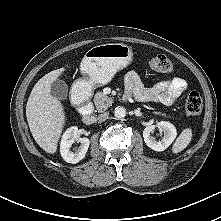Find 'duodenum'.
<instances>
[{
  "label": "duodenum",
  "mask_w": 221,
  "mask_h": 221,
  "mask_svg": "<svg viewBox=\"0 0 221 221\" xmlns=\"http://www.w3.org/2000/svg\"><path fill=\"white\" fill-rule=\"evenodd\" d=\"M73 102L78 106L80 116L83 122H90L93 115L92 105L84 101L76 92L72 94Z\"/></svg>",
  "instance_id": "duodenum-1"
}]
</instances>
